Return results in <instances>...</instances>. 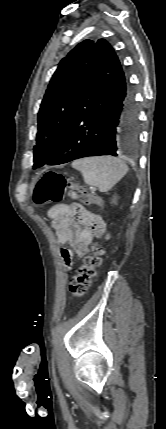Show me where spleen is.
<instances>
[{"mask_svg":"<svg viewBox=\"0 0 166 429\" xmlns=\"http://www.w3.org/2000/svg\"><path fill=\"white\" fill-rule=\"evenodd\" d=\"M72 168L82 174L87 185L98 187L100 192L109 191L128 172V166L124 161L111 156L75 160Z\"/></svg>","mask_w":166,"mask_h":429,"instance_id":"1","label":"spleen"}]
</instances>
